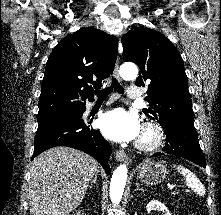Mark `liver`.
<instances>
[{"label": "liver", "mask_w": 221, "mask_h": 215, "mask_svg": "<svg viewBox=\"0 0 221 215\" xmlns=\"http://www.w3.org/2000/svg\"><path fill=\"white\" fill-rule=\"evenodd\" d=\"M98 168L94 158L69 147L39 154L30 169V215H68L81 204Z\"/></svg>", "instance_id": "1"}]
</instances>
